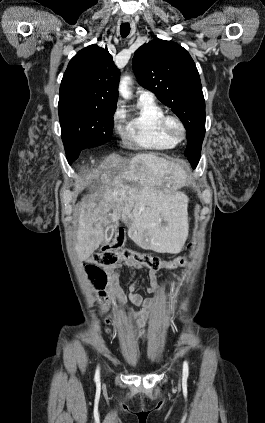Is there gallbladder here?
Segmentation results:
<instances>
[{"label": "gallbladder", "instance_id": "1", "mask_svg": "<svg viewBox=\"0 0 265 423\" xmlns=\"http://www.w3.org/2000/svg\"><path fill=\"white\" fill-rule=\"evenodd\" d=\"M117 222L116 223H114L113 225H111V226H109V227H107V230H106V235H105V240L106 241H110L111 239H112V237H113V232H114V229L117 227Z\"/></svg>", "mask_w": 265, "mask_h": 423}]
</instances>
